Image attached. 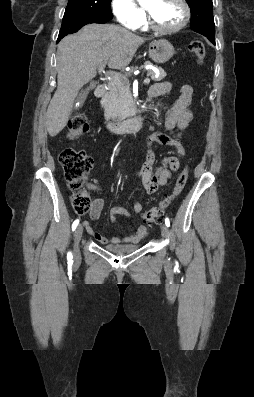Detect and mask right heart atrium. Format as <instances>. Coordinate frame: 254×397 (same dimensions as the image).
I'll list each match as a JSON object with an SVG mask.
<instances>
[{
  "instance_id": "d8ad5b80",
  "label": "right heart atrium",
  "mask_w": 254,
  "mask_h": 397,
  "mask_svg": "<svg viewBox=\"0 0 254 397\" xmlns=\"http://www.w3.org/2000/svg\"><path fill=\"white\" fill-rule=\"evenodd\" d=\"M112 12L119 23L129 29L138 28L144 21V11L134 0H112Z\"/></svg>"
}]
</instances>
